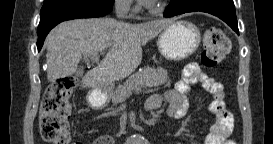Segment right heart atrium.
<instances>
[{
    "instance_id": "right-heart-atrium-1",
    "label": "right heart atrium",
    "mask_w": 273,
    "mask_h": 144,
    "mask_svg": "<svg viewBox=\"0 0 273 144\" xmlns=\"http://www.w3.org/2000/svg\"><path fill=\"white\" fill-rule=\"evenodd\" d=\"M115 6L122 12H132L135 10L131 0H115Z\"/></svg>"
}]
</instances>
